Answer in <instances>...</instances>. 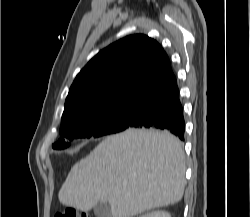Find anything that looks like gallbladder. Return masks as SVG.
I'll return each mask as SVG.
<instances>
[{
	"instance_id": "obj_1",
	"label": "gallbladder",
	"mask_w": 250,
	"mask_h": 217,
	"mask_svg": "<svg viewBox=\"0 0 250 217\" xmlns=\"http://www.w3.org/2000/svg\"><path fill=\"white\" fill-rule=\"evenodd\" d=\"M96 217H112L111 209L108 203L100 202L94 207Z\"/></svg>"
}]
</instances>
